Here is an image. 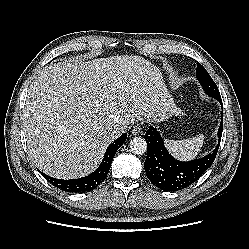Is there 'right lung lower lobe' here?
I'll list each match as a JSON object with an SVG mask.
<instances>
[{
	"mask_svg": "<svg viewBox=\"0 0 249 249\" xmlns=\"http://www.w3.org/2000/svg\"><path fill=\"white\" fill-rule=\"evenodd\" d=\"M126 137L127 133H124L119 138H117L112 144H110L105 152L104 158L100 166L97 168L96 171L86 177L79 179L62 180L52 178L48 175H44L43 173L42 175L55 187L67 192L82 193L91 191L105 180L109 172L114 155L116 154L120 146L125 142Z\"/></svg>",
	"mask_w": 249,
	"mask_h": 249,
	"instance_id": "1",
	"label": "right lung lower lobe"
}]
</instances>
